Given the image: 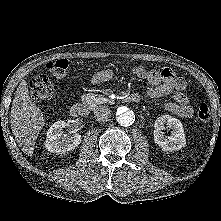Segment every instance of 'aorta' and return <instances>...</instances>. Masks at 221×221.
I'll list each match as a JSON object with an SVG mask.
<instances>
[{
	"instance_id": "obj_1",
	"label": "aorta",
	"mask_w": 221,
	"mask_h": 221,
	"mask_svg": "<svg viewBox=\"0 0 221 221\" xmlns=\"http://www.w3.org/2000/svg\"><path fill=\"white\" fill-rule=\"evenodd\" d=\"M117 121L121 126L128 127L131 126L135 121V114L132 110L121 107L117 112Z\"/></svg>"
}]
</instances>
